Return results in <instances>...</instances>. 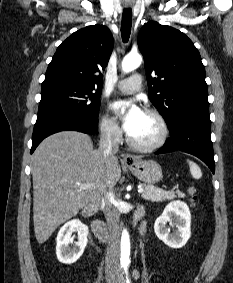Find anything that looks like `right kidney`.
I'll return each instance as SVG.
<instances>
[{
	"instance_id": "right-kidney-1",
	"label": "right kidney",
	"mask_w": 233,
	"mask_h": 283,
	"mask_svg": "<svg viewBox=\"0 0 233 283\" xmlns=\"http://www.w3.org/2000/svg\"><path fill=\"white\" fill-rule=\"evenodd\" d=\"M74 232L78 233V241L71 248L70 244L73 243L72 233ZM87 236L88 227L79 219L65 223L59 230L56 238V255L58 260L67 265L75 263L84 252L88 242Z\"/></svg>"
}]
</instances>
